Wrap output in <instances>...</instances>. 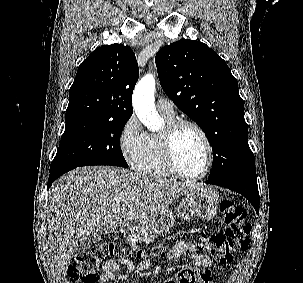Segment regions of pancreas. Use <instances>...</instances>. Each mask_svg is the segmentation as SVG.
Listing matches in <instances>:
<instances>
[{
	"instance_id": "pancreas-1",
	"label": "pancreas",
	"mask_w": 303,
	"mask_h": 283,
	"mask_svg": "<svg viewBox=\"0 0 303 283\" xmlns=\"http://www.w3.org/2000/svg\"><path fill=\"white\" fill-rule=\"evenodd\" d=\"M132 238L134 240H140L149 243L154 240L155 236L153 234L137 230L132 233Z\"/></svg>"
}]
</instances>
